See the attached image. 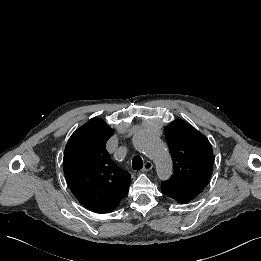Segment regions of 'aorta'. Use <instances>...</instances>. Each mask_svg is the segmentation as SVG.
<instances>
[{"label":"aorta","mask_w":261,"mask_h":261,"mask_svg":"<svg viewBox=\"0 0 261 261\" xmlns=\"http://www.w3.org/2000/svg\"><path fill=\"white\" fill-rule=\"evenodd\" d=\"M135 149L149 157L156 165L160 180H166L172 174V161L165 145L154 134L146 130H138L132 139Z\"/></svg>","instance_id":"obj_1"}]
</instances>
